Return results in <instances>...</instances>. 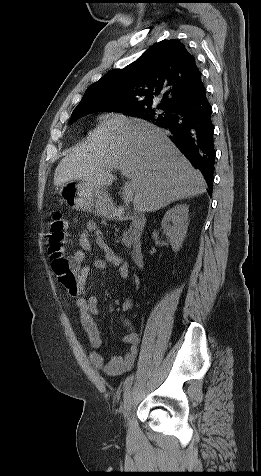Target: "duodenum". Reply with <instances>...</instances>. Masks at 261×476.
Instances as JSON below:
<instances>
[{"label":"duodenum","mask_w":261,"mask_h":476,"mask_svg":"<svg viewBox=\"0 0 261 476\" xmlns=\"http://www.w3.org/2000/svg\"><path fill=\"white\" fill-rule=\"evenodd\" d=\"M114 217L121 221H131L134 224L137 231L142 230L145 224V219L141 214L131 212L125 208H118L114 213ZM130 255H131V259L133 263L138 268H141L144 266L145 256H144L142 244L139 241L133 244Z\"/></svg>","instance_id":"1"}]
</instances>
